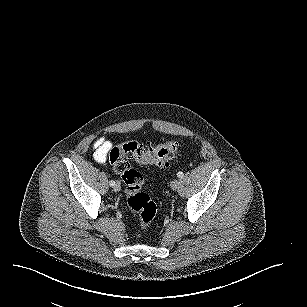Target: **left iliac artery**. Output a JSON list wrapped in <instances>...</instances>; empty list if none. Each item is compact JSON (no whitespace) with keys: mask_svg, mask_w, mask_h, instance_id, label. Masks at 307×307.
<instances>
[{"mask_svg":"<svg viewBox=\"0 0 307 307\" xmlns=\"http://www.w3.org/2000/svg\"><path fill=\"white\" fill-rule=\"evenodd\" d=\"M183 176H184L183 172H178V173H177V177L183 178Z\"/></svg>","mask_w":307,"mask_h":307,"instance_id":"1","label":"left iliac artery"}]
</instances>
